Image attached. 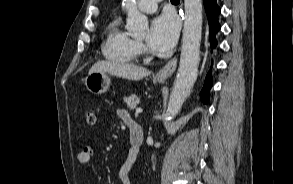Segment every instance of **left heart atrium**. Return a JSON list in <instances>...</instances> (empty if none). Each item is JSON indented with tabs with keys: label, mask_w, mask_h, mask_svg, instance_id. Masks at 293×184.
Listing matches in <instances>:
<instances>
[{
	"label": "left heart atrium",
	"mask_w": 293,
	"mask_h": 184,
	"mask_svg": "<svg viewBox=\"0 0 293 184\" xmlns=\"http://www.w3.org/2000/svg\"><path fill=\"white\" fill-rule=\"evenodd\" d=\"M179 23L172 14L165 13L154 18L147 38L149 47L158 53L170 50L178 37Z\"/></svg>",
	"instance_id": "obj_1"
}]
</instances>
